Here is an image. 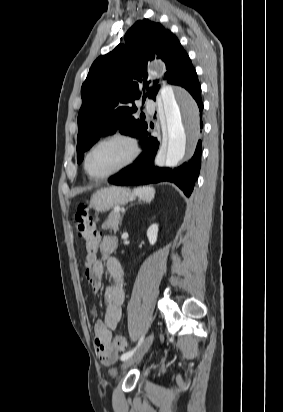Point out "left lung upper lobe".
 <instances>
[{
  "instance_id": "obj_1",
  "label": "left lung upper lobe",
  "mask_w": 283,
  "mask_h": 412,
  "mask_svg": "<svg viewBox=\"0 0 283 412\" xmlns=\"http://www.w3.org/2000/svg\"><path fill=\"white\" fill-rule=\"evenodd\" d=\"M162 59L167 68L165 79L176 84L193 69L189 56L176 36L161 24L147 19L137 21L126 33L125 41L112 52L98 57L82 85L83 104L78 114L77 161L103 134L119 130L137 137L148 127L144 119H135L134 101L146 89L154 99L159 86L148 87L147 61Z\"/></svg>"
}]
</instances>
